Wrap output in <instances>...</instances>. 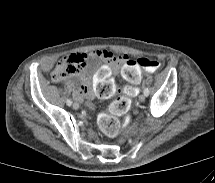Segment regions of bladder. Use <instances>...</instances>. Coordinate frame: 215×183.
I'll return each instance as SVG.
<instances>
[{"instance_id": "bladder-1", "label": "bladder", "mask_w": 215, "mask_h": 183, "mask_svg": "<svg viewBox=\"0 0 215 183\" xmlns=\"http://www.w3.org/2000/svg\"><path fill=\"white\" fill-rule=\"evenodd\" d=\"M103 61L101 57L91 55L80 66L82 73L97 75L102 69Z\"/></svg>"}]
</instances>
